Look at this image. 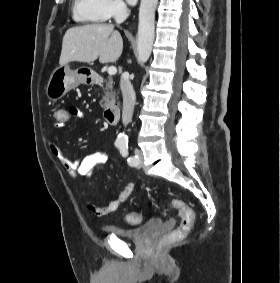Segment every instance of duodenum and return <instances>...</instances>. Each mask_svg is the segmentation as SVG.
Segmentation results:
<instances>
[{"label":"duodenum","mask_w":280,"mask_h":283,"mask_svg":"<svg viewBox=\"0 0 280 283\" xmlns=\"http://www.w3.org/2000/svg\"><path fill=\"white\" fill-rule=\"evenodd\" d=\"M85 81L90 84H102L104 80L96 74H90L85 78ZM103 116L105 121L110 124V125H115L119 121V116H120V110L118 105L113 104L109 107H107L104 112Z\"/></svg>","instance_id":"duodenum-1"}]
</instances>
